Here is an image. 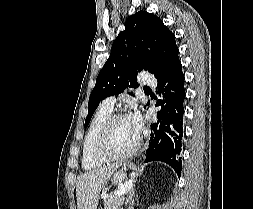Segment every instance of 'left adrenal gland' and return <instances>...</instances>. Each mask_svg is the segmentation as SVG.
I'll return each mask as SVG.
<instances>
[{
  "label": "left adrenal gland",
  "instance_id": "left-adrenal-gland-1",
  "mask_svg": "<svg viewBox=\"0 0 253 209\" xmlns=\"http://www.w3.org/2000/svg\"><path fill=\"white\" fill-rule=\"evenodd\" d=\"M134 197H135V191L134 188H132L129 192V196L126 200V202L129 204V209H132V205L134 204Z\"/></svg>",
  "mask_w": 253,
  "mask_h": 209
}]
</instances>
